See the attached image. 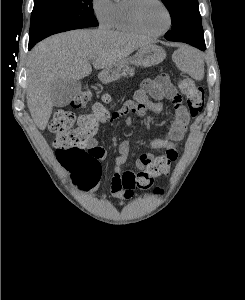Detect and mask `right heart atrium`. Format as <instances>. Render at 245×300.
I'll return each mask as SVG.
<instances>
[{
	"mask_svg": "<svg viewBox=\"0 0 245 300\" xmlns=\"http://www.w3.org/2000/svg\"><path fill=\"white\" fill-rule=\"evenodd\" d=\"M113 6V0H91L93 14L101 26H110Z\"/></svg>",
	"mask_w": 245,
	"mask_h": 300,
	"instance_id": "d8ad5b80",
	"label": "right heart atrium"
}]
</instances>
